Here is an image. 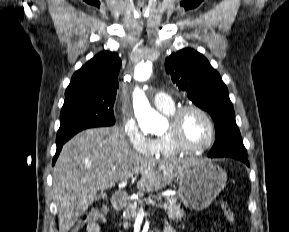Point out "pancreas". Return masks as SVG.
I'll return each mask as SVG.
<instances>
[{"label":"pancreas","instance_id":"cf45deb5","mask_svg":"<svg viewBox=\"0 0 289 232\" xmlns=\"http://www.w3.org/2000/svg\"><path fill=\"white\" fill-rule=\"evenodd\" d=\"M154 200H161V196L150 195L148 199L138 200L130 204L124 211L123 227L128 229L130 227V221L133 220L140 209H143L144 202L149 205H155ZM157 207L164 209L169 217L173 221H181L184 217V211L181 209L180 204L177 203V199L167 196L165 202L156 204Z\"/></svg>","mask_w":289,"mask_h":232}]
</instances>
